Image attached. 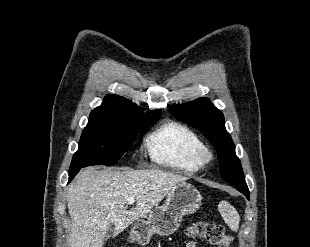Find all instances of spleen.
Segmentation results:
<instances>
[{"label": "spleen", "instance_id": "3e777b00", "mask_svg": "<svg viewBox=\"0 0 310 247\" xmlns=\"http://www.w3.org/2000/svg\"><path fill=\"white\" fill-rule=\"evenodd\" d=\"M218 209L229 228L232 231L237 232L239 228L240 216L236 209L227 201H221Z\"/></svg>", "mask_w": 310, "mask_h": 247}]
</instances>
